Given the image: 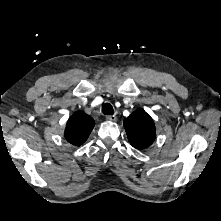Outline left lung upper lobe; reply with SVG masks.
Segmentation results:
<instances>
[{
    "instance_id": "1",
    "label": "left lung upper lobe",
    "mask_w": 221,
    "mask_h": 221,
    "mask_svg": "<svg viewBox=\"0 0 221 221\" xmlns=\"http://www.w3.org/2000/svg\"><path fill=\"white\" fill-rule=\"evenodd\" d=\"M124 128L130 144L136 149H145L155 140L154 122L143 109H137L126 118Z\"/></svg>"
}]
</instances>
